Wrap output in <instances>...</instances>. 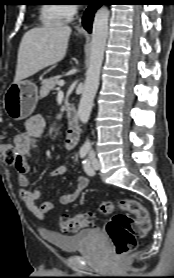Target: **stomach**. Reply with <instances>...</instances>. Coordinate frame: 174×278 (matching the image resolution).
Returning <instances> with one entry per match:
<instances>
[{
	"instance_id": "obj_1",
	"label": "stomach",
	"mask_w": 174,
	"mask_h": 278,
	"mask_svg": "<svg viewBox=\"0 0 174 278\" xmlns=\"http://www.w3.org/2000/svg\"><path fill=\"white\" fill-rule=\"evenodd\" d=\"M38 99V88L33 82H13L5 92L3 106L7 115L17 121L34 112Z\"/></svg>"
}]
</instances>
